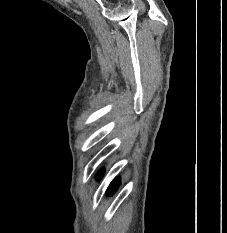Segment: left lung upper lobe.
I'll list each match as a JSON object with an SVG mask.
<instances>
[{
  "label": "left lung upper lobe",
  "instance_id": "1",
  "mask_svg": "<svg viewBox=\"0 0 227 233\" xmlns=\"http://www.w3.org/2000/svg\"><path fill=\"white\" fill-rule=\"evenodd\" d=\"M103 174V170H101L98 174H97V178H100Z\"/></svg>",
  "mask_w": 227,
  "mask_h": 233
}]
</instances>
